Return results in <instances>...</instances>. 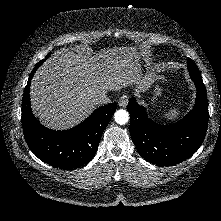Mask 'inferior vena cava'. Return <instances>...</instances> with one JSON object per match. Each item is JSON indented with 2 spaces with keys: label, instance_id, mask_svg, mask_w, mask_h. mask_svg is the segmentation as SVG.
I'll return each instance as SVG.
<instances>
[{
  "label": "inferior vena cava",
  "instance_id": "1",
  "mask_svg": "<svg viewBox=\"0 0 221 221\" xmlns=\"http://www.w3.org/2000/svg\"><path fill=\"white\" fill-rule=\"evenodd\" d=\"M110 102H111L110 98H109L108 95L105 94V93L100 94V95L97 96V98H96V104H97V105L108 104V103H110Z\"/></svg>",
  "mask_w": 221,
  "mask_h": 221
}]
</instances>
